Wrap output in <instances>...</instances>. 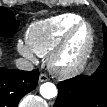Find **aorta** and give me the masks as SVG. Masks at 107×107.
<instances>
[{"label": "aorta", "instance_id": "1", "mask_svg": "<svg viewBox=\"0 0 107 107\" xmlns=\"http://www.w3.org/2000/svg\"><path fill=\"white\" fill-rule=\"evenodd\" d=\"M40 94L46 99H51L57 96V88L51 82L43 83L40 86Z\"/></svg>", "mask_w": 107, "mask_h": 107}]
</instances>
